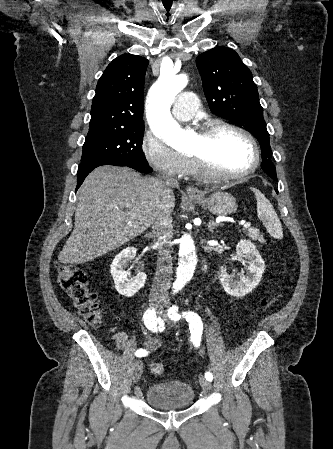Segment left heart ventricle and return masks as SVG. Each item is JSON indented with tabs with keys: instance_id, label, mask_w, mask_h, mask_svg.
I'll return each mask as SVG.
<instances>
[{
	"instance_id": "1",
	"label": "left heart ventricle",
	"mask_w": 333,
	"mask_h": 449,
	"mask_svg": "<svg viewBox=\"0 0 333 449\" xmlns=\"http://www.w3.org/2000/svg\"><path fill=\"white\" fill-rule=\"evenodd\" d=\"M188 153L200 156L210 170L221 175L243 171L253 162L250 143L230 130H219L207 137L196 135Z\"/></svg>"
}]
</instances>
